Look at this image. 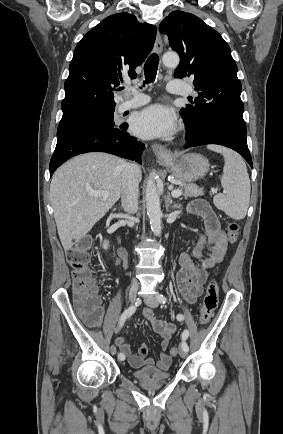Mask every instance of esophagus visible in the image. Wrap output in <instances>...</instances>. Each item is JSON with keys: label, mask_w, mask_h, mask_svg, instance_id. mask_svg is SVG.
Here are the masks:
<instances>
[{"label": "esophagus", "mask_w": 283, "mask_h": 434, "mask_svg": "<svg viewBox=\"0 0 283 434\" xmlns=\"http://www.w3.org/2000/svg\"><path fill=\"white\" fill-rule=\"evenodd\" d=\"M155 50L158 54L162 53L163 50V44L162 39L159 34V31H157L156 35V41H155ZM153 151L157 158L163 162H167L173 159V153L170 149L164 147L161 144H153L152 145Z\"/></svg>", "instance_id": "34e87169"}]
</instances>
